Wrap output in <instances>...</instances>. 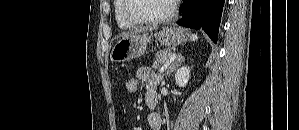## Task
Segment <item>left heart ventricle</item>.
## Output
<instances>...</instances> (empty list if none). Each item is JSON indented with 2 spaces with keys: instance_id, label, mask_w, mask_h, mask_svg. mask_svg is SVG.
I'll list each match as a JSON object with an SVG mask.
<instances>
[{
  "instance_id": "1",
  "label": "left heart ventricle",
  "mask_w": 299,
  "mask_h": 130,
  "mask_svg": "<svg viewBox=\"0 0 299 130\" xmlns=\"http://www.w3.org/2000/svg\"><path fill=\"white\" fill-rule=\"evenodd\" d=\"M171 2L168 0H133L131 12L141 19L155 18L165 15Z\"/></svg>"
}]
</instances>
